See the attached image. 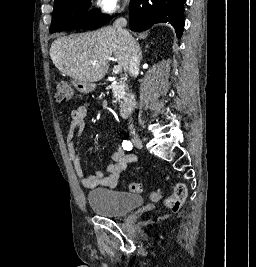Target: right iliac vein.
Segmentation results:
<instances>
[{
    "label": "right iliac vein",
    "mask_w": 256,
    "mask_h": 267,
    "mask_svg": "<svg viewBox=\"0 0 256 267\" xmlns=\"http://www.w3.org/2000/svg\"><path fill=\"white\" fill-rule=\"evenodd\" d=\"M132 142L138 148H141L143 145L140 136L136 132H133L132 134Z\"/></svg>",
    "instance_id": "right-iliac-vein-1"
}]
</instances>
